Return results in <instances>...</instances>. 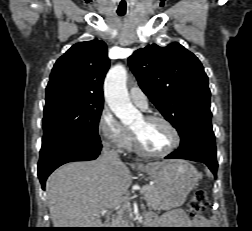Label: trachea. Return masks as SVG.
Wrapping results in <instances>:
<instances>
[{
	"instance_id": "obj_1",
	"label": "trachea",
	"mask_w": 252,
	"mask_h": 231,
	"mask_svg": "<svg viewBox=\"0 0 252 231\" xmlns=\"http://www.w3.org/2000/svg\"><path fill=\"white\" fill-rule=\"evenodd\" d=\"M118 15H119V16H124L125 13H124V12H118Z\"/></svg>"
}]
</instances>
